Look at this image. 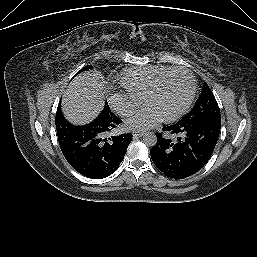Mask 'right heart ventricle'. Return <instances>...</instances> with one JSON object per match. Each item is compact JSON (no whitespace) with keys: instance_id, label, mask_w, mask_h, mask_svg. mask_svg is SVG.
Masks as SVG:
<instances>
[{"instance_id":"1","label":"right heart ventricle","mask_w":257,"mask_h":257,"mask_svg":"<svg viewBox=\"0 0 257 257\" xmlns=\"http://www.w3.org/2000/svg\"><path fill=\"white\" fill-rule=\"evenodd\" d=\"M168 68L170 67L162 65L127 68L121 74L120 84L126 91L141 98L145 96L155 79Z\"/></svg>"}]
</instances>
